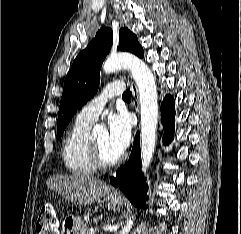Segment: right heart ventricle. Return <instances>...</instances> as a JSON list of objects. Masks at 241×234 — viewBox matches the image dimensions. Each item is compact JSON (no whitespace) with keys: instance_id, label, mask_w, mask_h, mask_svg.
Instances as JSON below:
<instances>
[{"instance_id":"1","label":"right heart ventricle","mask_w":241,"mask_h":234,"mask_svg":"<svg viewBox=\"0 0 241 234\" xmlns=\"http://www.w3.org/2000/svg\"><path fill=\"white\" fill-rule=\"evenodd\" d=\"M91 125V123L76 119L64 140L62 158L66 169L76 176H90L97 171L90 158L89 130Z\"/></svg>"}]
</instances>
